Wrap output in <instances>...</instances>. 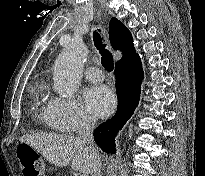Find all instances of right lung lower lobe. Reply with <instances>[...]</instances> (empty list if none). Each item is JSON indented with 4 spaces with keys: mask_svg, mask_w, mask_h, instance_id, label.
<instances>
[{
    "mask_svg": "<svg viewBox=\"0 0 205 176\" xmlns=\"http://www.w3.org/2000/svg\"><path fill=\"white\" fill-rule=\"evenodd\" d=\"M116 92L118 106L114 117L101 124L94 131V140L106 153L114 154L115 136L122 129L136 109L143 79L142 63L139 55L126 62L116 64Z\"/></svg>",
    "mask_w": 205,
    "mask_h": 176,
    "instance_id": "right-lung-lower-lobe-1",
    "label": "right lung lower lobe"
}]
</instances>
